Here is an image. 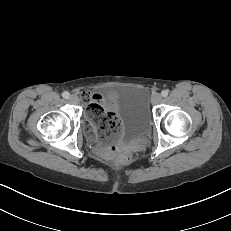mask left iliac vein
<instances>
[{
	"mask_svg": "<svg viewBox=\"0 0 231 231\" xmlns=\"http://www.w3.org/2000/svg\"><path fill=\"white\" fill-rule=\"evenodd\" d=\"M162 101V97L159 93H155L151 97V103L156 105L159 104Z\"/></svg>",
	"mask_w": 231,
	"mask_h": 231,
	"instance_id": "obj_1",
	"label": "left iliac vein"
}]
</instances>
